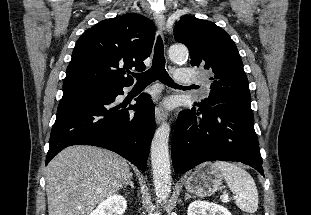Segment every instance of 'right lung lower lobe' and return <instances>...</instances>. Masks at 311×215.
I'll return each instance as SVG.
<instances>
[{"instance_id":"1","label":"right lung lower lobe","mask_w":311,"mask_h":215,"mask_svg":"<svg viewBox=\"0 0 311 215\" xmlns=\"http://www.w3.org/2000/svg\"><path fill=\"white\" fill-rule=\"evenodd\" d=\"M123 87L97 83L93 91L63 94L51 130L46 165L67 146L92 145L116 152L146 170L155 130L154 104L148 94H141L135 105L120 109L114 101L123 94ZM128 110H134V115Z\"/></svg>"}]
</instances>
